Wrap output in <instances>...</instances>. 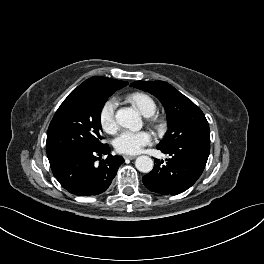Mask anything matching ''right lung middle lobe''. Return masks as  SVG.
Segmentation results:
<instances>
[{"label": "right lung middle lobe", "mask_w": 264, "mask_h": 264, "mask_svg": "<svg viewBox=\"0 0 264 264\" xmlns=\"http://www.w3.org/2000/svg\"><path fill=\"white\" fill-rule=\"evenodd\" d=\"M113 93L102 90H73L56 111L47 132L46 150L50 157L74 147L100 148V115Z\"/></svg>", "instance_id": "dd1d6c3e"}]
</instances>
